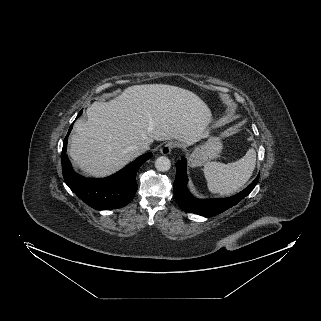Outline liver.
<instances>
[{"label": "liver", "instance_id": "6515ba94", "mask_svg": "<svg viewBox=\"0 0 321 321\" xmlns=\"http://www.w3.org/2000/svg\"><path fill=\"white\" fill-rule=\"evenodd\" d=\"M75 123L69 155L86 174L110 175L139 156L135 147L177 139L191 145L208 136L212 114L195 93L171 85H135L109 102H94Z\"/></svg>", "mask_w": 321, "mask_h": 321}]
</instances>
